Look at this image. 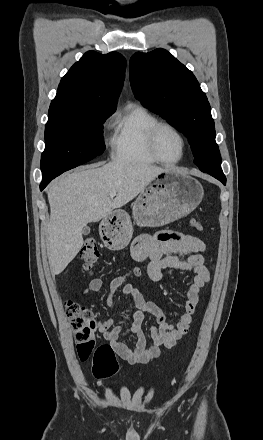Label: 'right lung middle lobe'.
I'll list each match as a JSON object with an SVG mask.
<instances>
[{
  "mask_svg": "<svg viewBox=\"0 0 263 440\" xmlns=\"http://www.w3.org/2000/svg\"><path fill=\"white\" fill-rule=\"evenodd\" d=\"M112 113L96 111L49 117L41 156L42 179L55 178L101 155L105 150L103 123Z\"/></svg>",
  "mask_w": 263,
  "mask_h": 440,
  "instance_id": "obj_1",
  "label": "right lung middle lobe"
}]
</instances>
